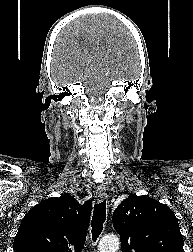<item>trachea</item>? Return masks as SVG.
Listing matches in <instances>:
<instances>
[{
  "label": "trachea",
  "mask_w": 193,
  "mask_h": 252,
  "mask_svg": "<svg viewBox=\"0 0 193 252\" xmlns=\"http://www.w3.org/2000/svg\"><path fill=\"white\" fill-rule=\"evenodd\" d=\"M106 220V201L95 204L92 216V240L96 242L103 230V224Z\"/></svg>",
  "instance_id": "1"
}]
</instances>
